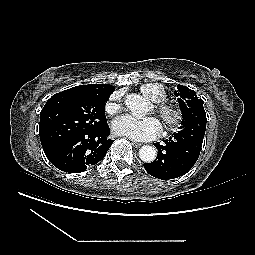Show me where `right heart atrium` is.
Here are the masks:
<instances>
[{"mask_svg": "<svg viewBox=\"0 0 255 255\" xmlns=\"http://www.w3.org/2000/svg\"><path fill=\"white\" fill-rule=\"evenodd\" d=\"M121 109L120 94L113 93L105 104V112L109 115L118 113Z\"/></svg>", "mask_w": 255, "mask_h": 255, "instance_id": "d8ad5b80", "label": "right heart atrium"}]
</instances>
